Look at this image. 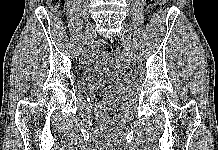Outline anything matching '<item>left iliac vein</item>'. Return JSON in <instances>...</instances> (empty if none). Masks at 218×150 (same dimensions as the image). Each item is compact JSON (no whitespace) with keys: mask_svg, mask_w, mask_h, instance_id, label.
<instances>
[{"mask_svg":"<svg viewBox=\"0 0 218 150\" xmlns=\"http://www.w3.org/2000/svg\"><path fill=\"white\" fill-rule=\"evenodd\" d=\"M122 41L128 46L129 51L133 50V47L131 46V32L127 24L123 25Z\"/></svg>","mask_w":218,"mask_h":150,"instance_id":"obj_1","label":"left iliac vein"}]
</instances>
